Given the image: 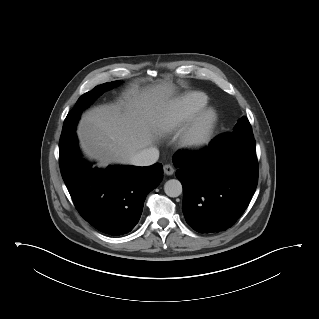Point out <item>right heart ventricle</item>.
Segmentation results:
<instances>
[{
    "label": "right heart ventricle",
    "mask_w": 319,
    "mask_h": 319,
    "mask_svg": "<svg viewBox=\"0 0 319 319\" xmlns=\"http://www.w3.org/2000/svg\"><path fill=\"white\" fill-rule=\"evenodd\" d=\"M208 97L202 92H189L174 101L162 112L157 128L164 134H174L185 128L206 107Z\"/></svg>",
    "instance_id": "obj_1"
}]
</instances>
